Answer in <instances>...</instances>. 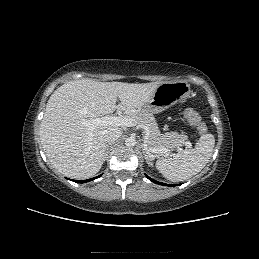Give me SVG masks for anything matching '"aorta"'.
Instances as JSON below:
<instances>
[{
  "mask_svg": "<svg viewBox=\"0 0 259 259\" xmlns=\"http://www.w3.org/2000/svg\"><path fill=\"white\" fill-rule=\"evenodd\" d=\"M125 145L129 148L131 147H134L136 145V140L132 137H128L126 140H125Z\"/></svg>",
  "mask_w": 259,
  "mask_h": 259,
  "instance_id": "1",
  "label": "aorta"
}]
</instances>
